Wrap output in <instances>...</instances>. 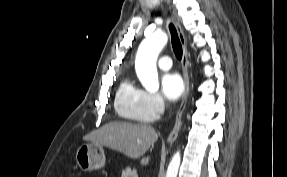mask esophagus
Segmentation results:
<instances>
[{
	"label": "esophagus",
	"instance_id": "1",
	"mask_svg": "<svg viewBox=\"0 0 287 177\" xmlns=\"http://www.w3.org/2000/svg\"><path fill=\"white\" fill-rule=\"evenodd\" d=\"M171 20L177 30L181 45H182V49H183V56H182V69H183V77H184V84H185V89H184V97L182 100V103L176 113V120H175V125L172 129V131L170 132L169 136H168V142L172 143L178 135L179 129L181 127L182 124V114L186 108V104H187V100H188V96H189V90H190V82H189V75H188V65H189V53L187 50V43H186V38L183 32V29L181 27L180 22L176 19L175 16H171Z\"/></svg>",
	"mask_w": 287,
	"mask_h": 177
}]
</instances>
